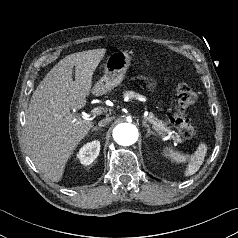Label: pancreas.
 <instances>
[{"label":"pancreas","instance_id":"1","mask_svg":"<svg viewBox=\"0 0 238 238\" xmlns=\"http://www.w3.org/2000/svg\"><path fill=\"white\" fill-rule=\"evenodd\" d=\"M124 96L125 97H128V98H131V99H137V98H141L143 97L142 95L138 94V93H135L133 91H127L124 93ZM150 119L153 120L155 122V129L161 133H168L170 134L171 133V129L170 128H167L166 127V123L161 121V120H158L157 118H155L153 116V114H150ZM171 135V134H170ZM175 141L177 142H181V138L179 137L178 134H174L171 136Z\"/></svg>","mask_w":238,"mask_h":238}]
</instances>
